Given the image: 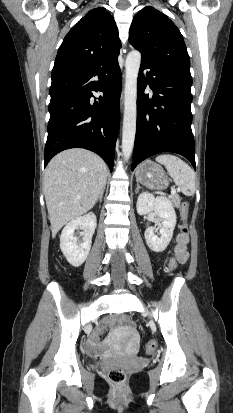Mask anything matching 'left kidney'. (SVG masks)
I'll return each mask as SVG.
<instances>
[{
  "label": "left kidney",
  "instance_id": "obj_1",
  "mask_svg": "<svg viewBox=\"0 0 233 413\" xmlns=\"http://www.w3.org/2000/svg\"><path fill=\"white\" fill-rule=\"evenodd\" d=\"M137 213L148 214L154 211L158 216V229L160 237L155 235L156 227L146 229L144 236L148 247L154 252L164 251L173 237L176 226V213L172 203L165 197H154L152 194L143 192L137 199Z\"/></svg>",
  "mask_w": 233,
  "mask_h": 413
}]
</instances>
